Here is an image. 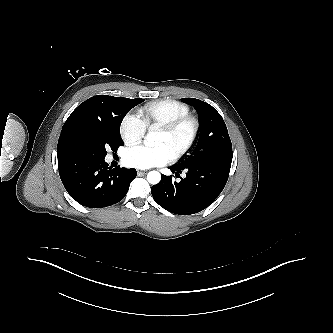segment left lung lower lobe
Masks as SVG:
<instances>
[{"label":"left lung lower lobe","mask_w":333,"mask_h":333,"mask_svg":"<svg viewBox=\"0 0 333 333\" xmlns=\"http://www.w3.org/2000/svg\"><path fill=\"white\" fill-rule=\"evenodd\" d=\"M231 163L204 161L189 166L173 165L169 169L180 177L162 174L161 181L151 188L154 200L164 209L179 215H191L207 208L219 196L228 180Z\"/></svg>","instance_id":"left-lung-lower-lobe-1"}]
</instances>
